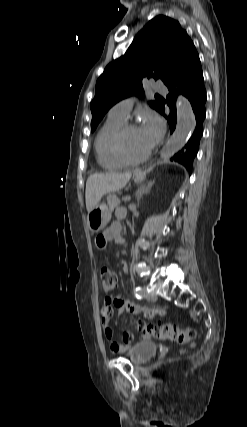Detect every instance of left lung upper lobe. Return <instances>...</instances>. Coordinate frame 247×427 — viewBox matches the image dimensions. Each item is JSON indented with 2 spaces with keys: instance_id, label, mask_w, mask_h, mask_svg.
I'll list each match as a JSON object with an SVG mask.
<instances>
[{
  "instance_id": "1",
  "label": "left lung upper lobe",
  "mask_w": 247,
  "mask_h": 427,
  "mask_svg": "<svg viewBox=\"0 0 247 427\" xmlns=\"http://www.w3.org/2000/svg\"><path fill=\"white\" fill-rule=\"evenodd\" d=\"M198 57L196 48L178 21L164 15L150 20L136 35L126 53L111 62L98 78L91 103V130L118 101L135 94L143 97V80L160 79L165 85L177 79ZM159 111L161 104L151 101Z\"/></svg>"
}]
</instances>
